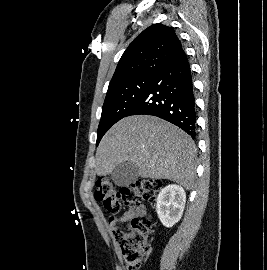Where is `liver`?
<instances>
[{
    "label": "liver",
    "instance_id": "obj_1",
    "mask_svg": "<svg viewBox=\"0 0 267 270\" xmlns=\"http://www.w3.org/2000/svg\"><path fill=\"white\" fill-rule=\"evenodd\" d=\"M196 151L194 141L178 127L155 116L135 115L117 122L102 138L95 171L106 176L130 162L142 178L168 179L189 190Z\"/></svg>",
    "mask_w": 267,
    "mask_h": 270
}]
</instances>
